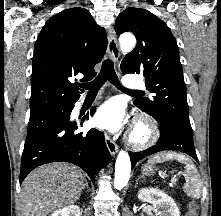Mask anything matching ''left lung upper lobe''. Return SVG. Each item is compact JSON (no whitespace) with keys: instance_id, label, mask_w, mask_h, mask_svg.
I'll list each match as a JSON object with an SVG mask.
<instances>
[{"instance_id":"5c2ea615","label":"left lung upper lobe","mask_w":221,"mask_h":216,"mask_svg":"<svg viewBox=\"0 0 221 216\" xmlns=\"http://www.w3.org/2000/svg\"><path fill=\"white\" fill-rule=\"evenodd\" d=\"M115 31L137 37L136 47L121 63L122 71L143 74L147 89L155 94L152 100H135V105L159 124L170 123L193 133L179 48L168 26L145 9L129 7L119 14Z\"/></svg>"}]
</instances>
